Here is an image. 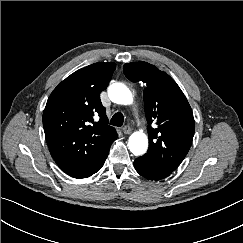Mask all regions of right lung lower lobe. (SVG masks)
Wrapping results in <instances>:
<instances>
[{
  "mask_svg": "<svg viewBox=\"0 0 243 243\" xmlns=\"http://www.w3.org/2000/svg\"><path fill=\"white\" fill-rule=\"evenodd\" d=\"M108 153H109V151H108ZM108 153H107V155H108ZM107 155L101 160V162L91 172H89L87 175L80 177V178L90 177L91 175H93L94 173L99 171L102 168V166L104 165Z\"/></svg>",
  "mask_w": 243,
  "mask_h": 243,
  "instance_id": "obj_1",
  "label": "right lung lower lobe"
}]
</instances>
